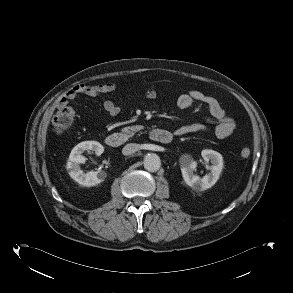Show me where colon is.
<instances>
[{
    "label": "colon",
    "instance_id": "obj_1",
    "mask_svg": "<svg viewBox=\"0 0 293 293\" xmlns=\"http://www.w3.org/2000/svg\"><path fill=\"white\" fill-rule=\"evenodd\" d=\"M74 119V111L71 107L67 105L58 106L52 123L56 133H62L71 125ZM250 156V150L248 148H243L240 151V157L242 159H247Z\"/></svg>",
    "mask_w": 293,
    "mask_h": 293
}]
</instances>
